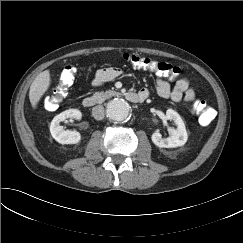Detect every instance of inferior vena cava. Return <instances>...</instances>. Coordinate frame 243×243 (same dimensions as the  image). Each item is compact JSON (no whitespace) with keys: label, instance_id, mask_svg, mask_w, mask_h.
I'll return each mask as SVG.
<instances>
[{"label":"inferior vena cava","instance_id":"obj_1","mask_svg":"<svg viewBox=\"0 0 243 243\" xmlns=\"http://www.w3.org/2000/svg\"><path fill=\"white\" fill-rule=\"evenodd\" d=\"M93 117L96 120H102L104 118V108L101 105L95 106L92 110Z\"/></svg>","mask_w":243,"mask_h":243}]
</instances>
